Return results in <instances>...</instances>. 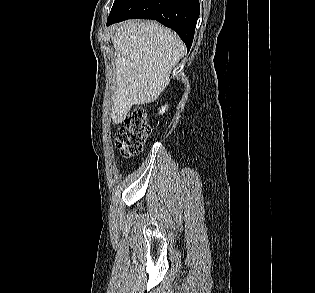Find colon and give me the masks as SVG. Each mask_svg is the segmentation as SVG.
Returning <instances> with one entry per match:
<instances>
[{
    "label": "colon",
    "instance_id": "colon-1",
    "mask_svg": "<svg viewBox=\"0 0 315 293\" xmlns=\"http://www.w3.org/2000/svg\"><path fill=\"white\" fill-rule=\"evenodd\" d=\"M150 132L145 111L135 109L125 117L124 125L117 133V148L125 157L138 155L142 152Z\"/></svg>",
    "mask_w": 315,
    "mask_h": 293
}]
</instances>
